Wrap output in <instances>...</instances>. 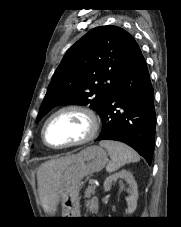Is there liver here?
Segmentation results:
<instances>
[{
  "instance_id": "obj_1",
  "label": "liver",
  "mask_w": 181,
  "mask_h": 227,
  "mask_svg": "<svg viewBox=\"0 0 181 227\" xmlns=\"http://www.w3.org/2000/svg\"><path fill=\"white\" fill-rule=\"evenodd\" d=\"M76 155L44 162L37 170L38 192L44 210L55 214L67 178L66 170Z\"/></svg>"
}]
</instances>
